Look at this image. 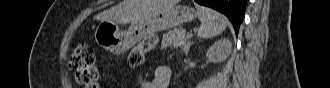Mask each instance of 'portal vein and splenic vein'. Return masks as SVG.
Listing matches in <instances>:
<instances>
[{
  "label": "portal vein and splenic vein",
  "mask_w": 330,
  "mask_h": 88,
  "mask_svg": "<svg viewBox=\"0 0 330 88\" xmlns=\"http://www.w3.org/2000/svg\"><path fill=\"white\" fill-rule=\"evenodd\" d=\"M193 35L192 34H188L187 35V38H191Z\"/></svg>",
  "instance_id": "1"
}]
</instances>
